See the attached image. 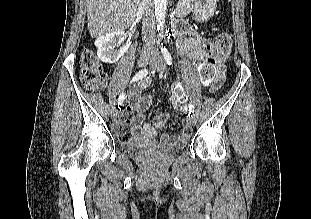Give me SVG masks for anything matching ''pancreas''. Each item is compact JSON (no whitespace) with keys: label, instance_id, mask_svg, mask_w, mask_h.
Wrapping results in <instances>:
<instances>
[{"label":"pancreas","instance_id":"cf45deb5","mask_svg":"<svg viewBox=\"0 0 311 219\" xmlns=\"http://www.w3.org/2000/svg\"><path fill=\"white\" fill-rule=\"evenodd\" d=\"M193 1L194 0H179L178 8L190 11L193 9Z\"/></svg>","mask_w":311,"mask_h":219}]
</instances>
